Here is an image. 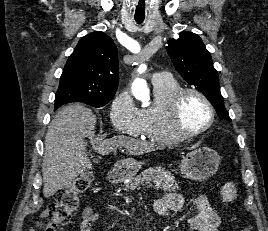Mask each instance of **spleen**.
I'll list each match as a JSON object with an SVG mask.
<instances>
[{
  "label": "spleen",
  "instance_id": "1",
  "mask_svg": "<svg viewBox=\"0 0 268 231\" xmlns=\"http://www.w3.org/2000/svg\"><path fill=\"white\" fill-rule=\"evenodd\" d=\"M220 194L224 202H231L237 197L235 185L232 182H227L222 187Z\"/></svg>",
  "mask_w": 268,
  "mask_h": 231
}]
</instances>
